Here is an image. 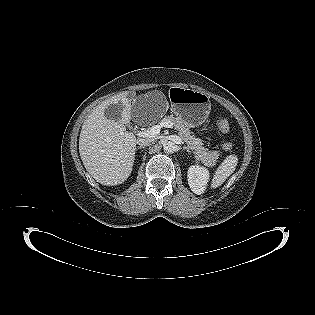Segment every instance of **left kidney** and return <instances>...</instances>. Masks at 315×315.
Here are the masks:
<instances>
[{"instance_id": "obj_1", "label": "left kidney", "mask_w": 315, "mask_h": 315, "mask_svg": "<svg viewBox=\"0 0 315 315\" xmlns=\"http://www.w3.org/2000/svg\"><path fill=\"white\" fill-rule=\"evenodd\" d=\"M187 173L191 190L198 195L204 193L209 180V171L205 167L193 165L189 167Z\"/></svg>"}]
</instances>
